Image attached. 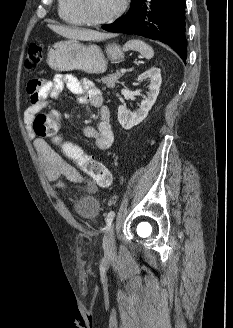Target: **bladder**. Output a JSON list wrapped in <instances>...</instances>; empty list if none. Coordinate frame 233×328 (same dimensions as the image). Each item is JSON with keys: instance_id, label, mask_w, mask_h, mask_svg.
Returning <instances> with one entry per match:
<instances>
[{"instance_id": "bladder-1", "label": "bladder", "mask_w": 233, "mask_h": 328, "mask_svg": "<svg viewBox=\"0 0 233 328\" xmlns=\"http://www.w3.org/2000/svg\"><path fill=\"white\" fill-rule=\"evenodd\" d=\"M75 212L85 220H94L99 212L98 201L92 196H82L74 201Z\"/></svg>"}]
</instances>
